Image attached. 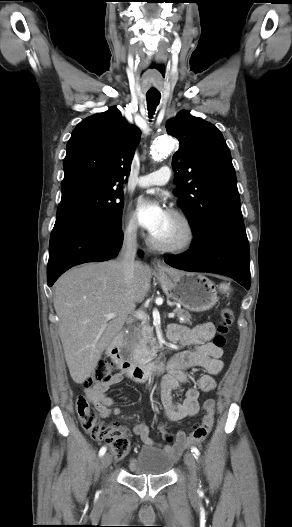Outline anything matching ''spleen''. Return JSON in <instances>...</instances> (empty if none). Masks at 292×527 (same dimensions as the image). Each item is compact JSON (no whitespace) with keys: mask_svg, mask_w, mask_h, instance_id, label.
I'll use <instances>...</instances> for the list:
<instances>
[{"mask_svg":"<svg viewBox=\"0 0 292 527\" xmlns=\"http://www.w3.org/2000/svg\"><path fill=\"white\" fill-rule=\"evenodd\" d=\"M219 289L222 293H227L230 291V286L229 284H226V283H221L220 286H219Z\"/></svg>","mask_w":292,"mask_h":527,"instance_id":"1","label":"spleen"}]
</instances>
